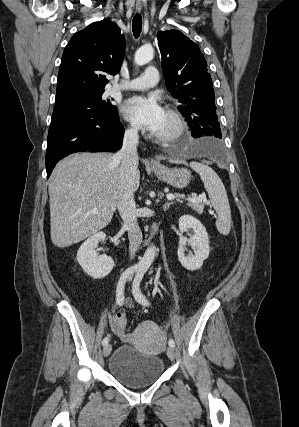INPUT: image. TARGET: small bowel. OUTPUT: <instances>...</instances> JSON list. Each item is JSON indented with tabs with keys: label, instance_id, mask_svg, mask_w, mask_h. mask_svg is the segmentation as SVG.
<instances>
[{
	"label": "small bowel",
	"instance_id": "1",
	"mask_svg": "<svg viewBox=\"0 0 299 427\" xmlns=\"http://www.w3.org/2000/svg\"><path fill=\"white\" fill-rule=\"evenodd\" d=\"M125 305L127 307H132L133 303L130 299H126ZM120 316H122V314L117 313L114 318L110 319V328L112 329V331L116 334V336L118 338H120L121 340H128L131 337V334L129 332H127V331H125L124 333L118 332L116 321H117L118 317H120Z\"/></svg>",
	"mask_w": 299,
	"mask_h": 427
}]
</instances>
